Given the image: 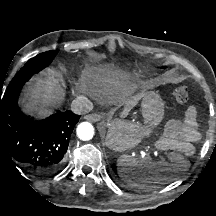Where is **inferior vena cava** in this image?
I'll use <instances>...</instances> for the list:
<instances>
[{
  "label": "inferior vena cava",
  "instance_id": "obj_1",
  "mask_svg": "<svg viewBox=\"0 0 216 216\" xmlns=\"http://www.w3.org/2000/svg\"><path fill=\"white\" fill-rule=\"evenodd\" d=\"M93 109V104L85 96H78L71 104V110L76 114H86Z\"/></svg>",
  "mask_w": 216,
  "mask_h": 216
}]
</instances>
